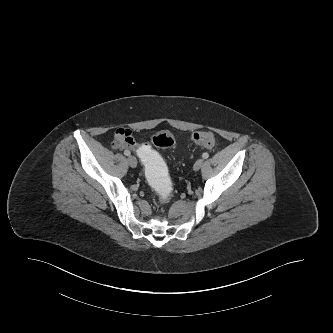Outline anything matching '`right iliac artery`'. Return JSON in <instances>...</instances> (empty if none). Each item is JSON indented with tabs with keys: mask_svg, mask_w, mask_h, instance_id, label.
Here are the masks:
<instances>
[{
	"mask_svg": "<svg viewBox=\"0 0 333 333\" xmlns=\"http://www.w3.org/2000/svg\"><path fill=\"white\" fill-rule=\"evenodd\" d=\"M124 154H125L126 156H130L131 153H130V151L125 150V151H124Z\"/></svg>",
	"mask_w": 333,
	"mask_h": 333,
	"instance_id": "82829eb1",
	"label": "right iliac artery"
}]
</instances>
